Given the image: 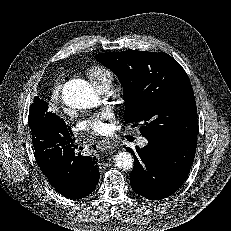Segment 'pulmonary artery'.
Here are the masks:
<instances>
[{
	"instance_id": "1",
	"label": "pulmonary artery",
	"mask_w": 231,
	"mask_h": 231,
	"mask_svg": "<svg viewBox=\"0 0 231 231\" xmlns=\"http://www.w3.org/2000/svg\"><path fill=\"white\" fill-rule=\"evenodd\" d=\"M110 84H104V85H102V86H100V87H98L97 89L100 91V92H107L108 90H109V88H110ZM139 144L140 145H144L145 144V140H140L139 141Z\"/></svg>"
}]
</instances>
